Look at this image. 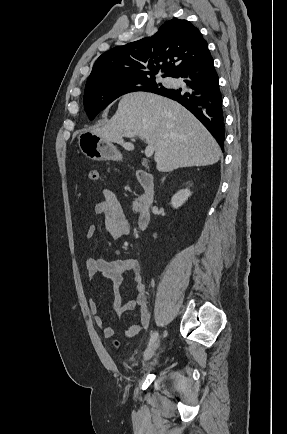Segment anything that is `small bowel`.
<instances>
[{"label": "small bowel", "instance_id": "c3829d8e", "mask_svg": "<svg viewBox=\"0 0 287 434\" xmlns=\"http://www.w3.org/2000/svg\"><path fill=\"white\" fill-rule=\"evenodd\" d=\"M94 212L97 216L103 218L105 228L112 239H119L129 234V219L120 202L111 191L105 192V199L96 204ZM95 234V226H88L86 237L92 239ZM84 266L90 282H93L97 278H106L110 279L116 287L121 285L124 275L130 273L136 284L134 297L123 302L121 294L117 292L111 302V307L118 314L133 311L135 308L139 309V322L130 324L127 327L124 333L126 339L134 338L142 329L149 326L150 312L146 300L145 287L142 282V266L137 258L126 257L113 261H106L94 257H86L84 259ZM89 308L92 314L95 315L94 319L96 325L103 328L105 338H112L115 335V330L111 326H105L104 319L98 315V304L93 299L89 300Z\"/></svg>", "mask_w": 287, "mask_h": 434}]
</instances>
